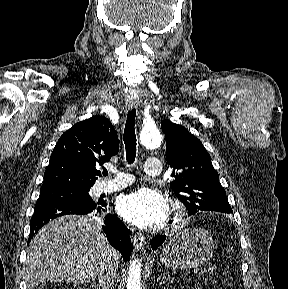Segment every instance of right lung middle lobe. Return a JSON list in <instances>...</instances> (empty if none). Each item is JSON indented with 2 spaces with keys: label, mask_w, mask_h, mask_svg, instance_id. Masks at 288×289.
<instances>
[{
  "label": "right lung middle lobe",
  "mask_w": 288,
  "mask_h": 289,
  "mask_svg": "<svg viewBox=\"0 0 288 289\" xmlns=\"http://www.w3.org/2000/svg\"><path fill=\"white\" fill-rule=\"evenodd\" d=\"M89 190L90 187L41 189L36 205L50 202H66L81 206H94L96 203L89 196Z\"/></svg>",
  "instance_id": "1"
}]
</instances>
